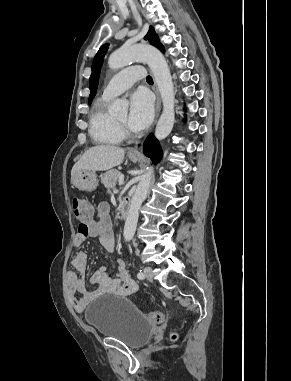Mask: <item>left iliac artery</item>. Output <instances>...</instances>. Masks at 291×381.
<instances>
[{"label": "left iliac artery", "instance_id": "obj_1", "mask_svg": "<svg viewBox=\"0 0 291 381\" xmlns=\"http://www.w3.org/2000/svg\"><path fill=\"white\" fill-rule=\"evenodd\" d=\"M137 278L140 279V280L145 278V275H144V273L141 270L137 273Z\"/></svg>", "mask_w": 291, "mask_h": 381}]
</instances>
